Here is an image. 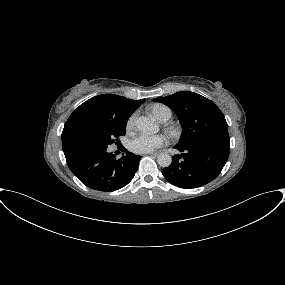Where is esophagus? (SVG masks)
Segmentation results:
<instances>
[{
	"label": "esophagus",
	"instance_id": "1",
	"mask_svg": "<svg viewBox=\"0 0 285 285\" xmlns=\"http://www.w3.org/2000/svg\"><path fill=\"white\" fill-rule=\"evenodd\" d=\"M149 156H158L160 155V152H152V153H148Z\"/></svg>",
	"mask_w": 285,
	"mask_h": 285
}]
</instances>
